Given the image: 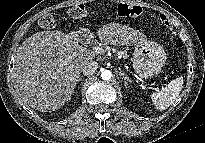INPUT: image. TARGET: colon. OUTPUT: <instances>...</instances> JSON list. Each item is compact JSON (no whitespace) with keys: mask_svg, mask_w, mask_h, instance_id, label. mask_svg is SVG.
Here are the masks:
<instances>
[{"mask_svg":"<svg viewBox=\"0 0 205 143\" xmlns=\"http://www.w3.org/2000/svg\"><path fill=\"white\" fill-rule=\"evenodd\" d=\"M141 13V8L138 6L119 4L117 14L121 17H134ZM68 15L73 19H82L87 15L86 8L83 4H74L68 9ZM165 25L169 26L166 18L162 17ZM39 24L44 29H51L55 26L56 20L52 14H46L41 17Z\"/></svg>","mask_w":205,"mask_h":143,"instance_id":"colon-1","label":"colon"}]
</instances>
